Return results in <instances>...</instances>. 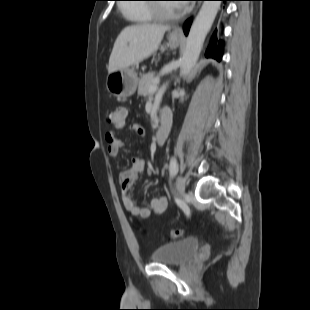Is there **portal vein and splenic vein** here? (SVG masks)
Masks as SVG:
<instances>
[{
  "instance_id": "18ae733b",
  "label": "portal vein and splenic vein",
  "mask_w": 310,
  "mask_h": 310,
  "mask_svg": "<svg viewBox=\"0 0 310 310\" xmlns=\"http://www.w3.org/2000/svg\"><path fill=\"white\" fill-rule=\"evenodd\" d=\"M158 90V85L157 84H155V85H153V86H151L150 88H149V92L150 93H154V92H156Z\"/></svg>"
}]
</instances>
